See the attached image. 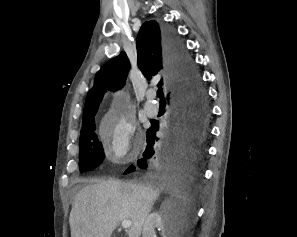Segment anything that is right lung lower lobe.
Masks as SVG:
<instances>
[{
  "mask_svg": "<svg viewBox=\"0 0 297 237\" xmlns=\"http://www.w3.org/2000/svg\"><path fill=\"white\" fill-rule=\"evenodd\" d=\"M162 32L172 77L171 92L167 95L170 114L162 139L156 136L158 122L152 123L147 130V147L137 161L152 179L180 173H203L205 119L209 112L205 91L182 40L172 27L162 26ZM134 170L131 165L124 174Z\"/></svg>",
  "mask_w": 297,
  "mask_h": 237,
  "instance_id": "right-lung-lower-lobe-1",
  "label": "right lung lower lobe"
}]
</instances>
